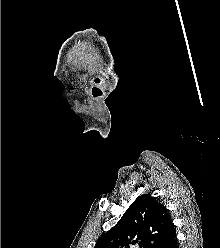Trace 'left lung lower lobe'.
<instances>
[{
  "label": "left lung lower lobe",
  "mask_w": 220,
  "mask_h": 248,
  "mask_svg": "<svg viewBox=\"0 0 220 248\" xmlns=\"http://www.w3.org/2000/svg\"><path fill=\"white\" fill-rule=\"evenodd\" d=\"M161 248H179L175 227L172 228L169 236L167 237Z\"/></svg>",
  "instance_id": "left-lung-lower-lobe-1"
}]
</instances>
